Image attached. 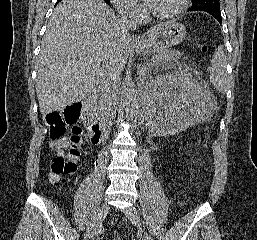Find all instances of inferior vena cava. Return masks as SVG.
<instances>
[{
    "label": "inferior vena cava",
    "instance_id": "obj_1",
    "mask_svg": "<svg viewBox=\"0 0 257 240\" xmlns=\"http://www.w3.org/2000/svg\"><path fill=\"white\" fill-rule=\"evenodd\" d=\"M137 9L127 4L121 11V18L118 22V31L126 36L137 26ZM120 78L117 75L111 76L100 85V96L102 102V127L105 135L109 133L113 117L117 110L118 94L120 91Z\"/></svg>",
    "mask_w": 257,
    "mask_h": 240
}]
</instances>
